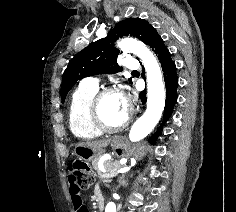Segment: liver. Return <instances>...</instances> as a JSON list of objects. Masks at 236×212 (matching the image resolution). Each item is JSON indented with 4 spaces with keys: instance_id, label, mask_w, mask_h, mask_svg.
<instances>
[{
    "instance_id": "liver-1",
    "label": "liver",
    "mask_w": 236,
    "mask_h": 212,
    "mask_svg": "<svg viewBox=\"0 0 236 212\" xmlns=\"http://www.w3.org/2000/svg\"><path fill=\"white\" fill-rule=\"evenodd\" d=\"M110 139H105V140H97V141H85L82 143H79L78 145L81 146H87L94 151H102L103 148L107 147L110 143Z\"/></svg>"
}]
</instances>
